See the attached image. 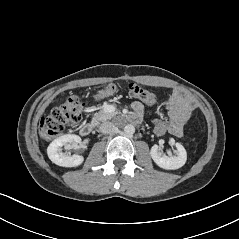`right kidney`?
<instances>
[{"label":"right kidney","instance_id":"1","mask_svg":"<svg viewBox=\"0 0 239 239\" xmlns=\"http://www.w3.org/2000/svg\"><path fill=\"white\" fill-rule=\"evenodd\" d=\"M81 143V138L75 134H65L50 143L47 148L49 159L58 166L76 167L83 163L84 158L80 155H68L61 152L63 146L76 148Z\"/></svg>","mask_w":239,"mask_h":239}]
</instances>
